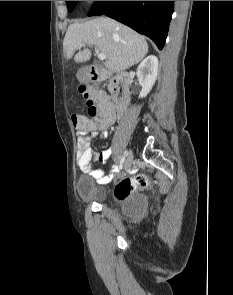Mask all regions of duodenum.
Wrapping results in <instances>:
<instances>
[{"instance_id":"410a0bca","label":"duodenum","mask_w":233,"mask_h":295,"mask_svg":"<svg viewBox=\"0 0 233 295\" xmlns=\"http://www.w3.org/2000/svg\"><path fill=\"white\" fill-rule=\"evenodd\" d=\"M111 76V73L98 67H90L87 77L91 81H101ZM111 89L114 95L115 108L118 115L123 114L129 105L130 94L128 89V76L124 72L112 75Z\"/></svg>"}]
</instances>
